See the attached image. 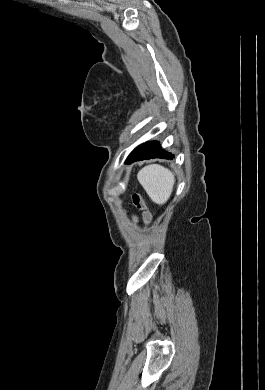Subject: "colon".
I'll return each instance as SVG.
<instances>
[{"instance_id": "colon-1", "label": "colon", "mask_w": 265, "mask_h": 390, "mask_svg": "<svg viewBox=\"0 0 265 390\" xmlns=\"http://www.w3.org/2000/svg\"><path fill=\"white\" fill-rule=\"evenodd\" d=\"M132 201L136 208L142 210L145 213V215L149 217L150 214H149L148 204L140 194L137 193L133 194Z\"/></svg>"}]
</instances>
